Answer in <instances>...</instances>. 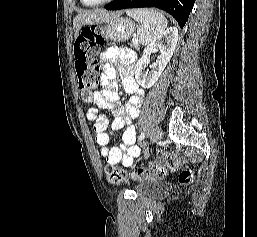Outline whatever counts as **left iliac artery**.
Listing matches in <instances>:
<instances>
[{
	"instance_id": "obj_1",
	"label": "left iliac artery",
	"mask_w": 257,
	"mask_h": 237,
	"mask_svg": "<svg viewBox=\"0 0 257 237\" xmlns=\"http://www.w3.org/2000/svg\"><path fill=\"white\" fill-rule=\"evenodd\" d=\"M145 138V132H142L138 138V141L141 142Z\"/></svg>"
}]
</instances>
